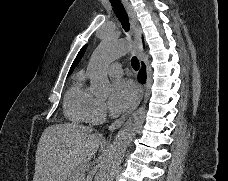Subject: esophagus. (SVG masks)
I'll return each mask as SVG.
<instances>
[{"label":"esophagus","mask_w":228,"mask_h":181,"mask_svg":"<svg viewBox=\"0 0 228 181\" xmlns=\"http://www.w3.org/2000/svg\"><path fill=\"white\" fill-rule=\"evenodd\" d=\"M122 2L127 10V13H128L129 19H130V23L132 25L131 33L133 34V37H134L133 55H137L138 53H140L142 51L141 28H140L139 22L136 17V12H135L134 8L132 7L131 3L128 0H122ZM144 93H145V85L142 84L139 87L138 95H137L133 105L131 106V108L123 116H121V118L114 121V123H112L109 126L108 130L110 133H113V131L120 128L122 126V124L127 120V118H129V116H131V114L140 105V103L143 99Z\"/></svg>","instance_id":"obj_1"}]
</instances>
